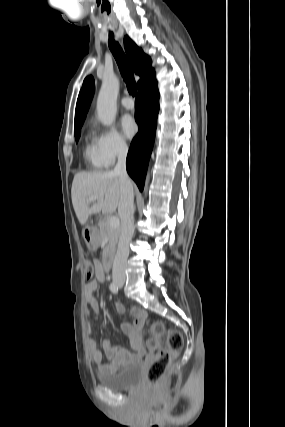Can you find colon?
Here are the masks:
<instances>
[{"instance_id": "5ec220e1", "label": "colon", "mask_w": 285, "mask_h": 427, "mask_svg": "<svg viewBox=\"0 0 285 427\" xmlns=\"http://www.w3.org/2000/svg\"><path fill=\"white\" fill-rule=\"evenodd\" d=\"M85 275L88 280H92L95 277L94 263L86 261ZM149 335L146 346L148 351L155 354V356L147 370L146 381L149 386H155L164 376L176 352L181 349L183 338L177 329H166L164 324L158 321L150 324ZM161 337H164L165 348L158 350Z\"/></svg>"}]
</instances>
